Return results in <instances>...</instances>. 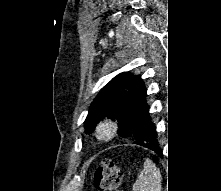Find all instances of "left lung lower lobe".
Returning <instances> with one entry per match:
<instances>
[{
  "mask_svg": "<svg viewBox=\"0 0 221 191\" xmlns=\"http://www.w3.org/2000/svg\"><path fill=\"white\" fill-rule=\"evenodd\" d=\"M132 89L131 113L136 125L135 130L140 133L142 138L149 140L150 143L154 142L155 139L158 140L156 127L154 123L151 122V117L145 99L146 88L140 77L136 76ZM144 147L155 151L159 155L161 153L159 143L149 144L148 146Z\"/></svg>",
  "mask_w": 221,
  "mask_h": 191,
  "instance_id": "obj_1",
  "label": "left lung lower lobe"
}]
</instances>
